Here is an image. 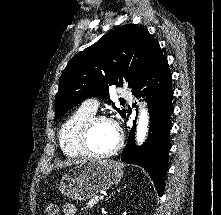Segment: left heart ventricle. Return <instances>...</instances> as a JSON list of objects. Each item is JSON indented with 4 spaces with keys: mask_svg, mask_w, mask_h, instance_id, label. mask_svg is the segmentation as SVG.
<instances>
[{
    "mask_svg": "<svg viewBox=\"0 0 221 215\" xmlns=\"http://www.w3.org/2000/svg\"><path fill=\"white\" fill-rule=\"evenodd\" d=\"M118 139L117 130L109 122L97 123L90 134V146L99 153H103L112 149Z\"/></svg>",
    "mask_w": 221,
    "mask_h": 215,
    "instance_id": "b2bd125f",
    "label": "left heart ventricle"
}]
</instances>
